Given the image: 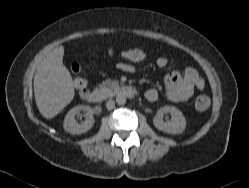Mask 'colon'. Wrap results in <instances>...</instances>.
Returning a JSON list of instances; mask_svg holds the SVG:
<instances>
[{"label": "colon", "instance_id": "5ec220e1", "mask_svg": "<svg viewBox=\"0 0 249 188\" xmlns=\"http://www.w3.org/2000/svg\"><path fill=\"white\" fill-rule=\"evenodd\" d=\"M109 54L111 56H115L116 52L114 50H110ZM121 57H132L134 59H141L146 57V53L143 50H140L138 48H134V49H130L124 52L120 53ZM71 71L74 74V86L76 89H78L82 94H84L86 92V87H87V82L85 80V78L81 75V69L80 66L77 63H72L71 64ZM210 106V99L207 96H199L196 99L195 102V107L197 110L199 111H205L208 109V107Z\"/></svg>", "mask_w": 249, "mask_h": 188}]
</instances>
